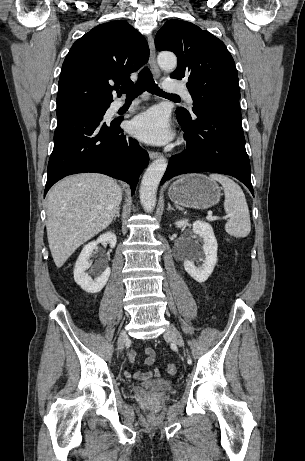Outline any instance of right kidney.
Wrapping results in <instances>:
<instances>
[{"instance_id":"obj_1","label":"right kidney","mask_w":305,"mask_h":461,"mask_svg":"<svg viewBox=\"0 0 305 461\" xmlns=\"http://www.w3.org/2000/svg\"><path fill=\"white\" fill-rule=\"evenodd\" d=\"M104 241H107L110 247L114 248L117 242L116 235L112 232H107L99 236L96 241L88 243L84 246L75 263L74 280L84 291L90 294L100 292L106 285L111 273L109 267L98 268L96 270L97 277L94 280L86 273V270L90 267L89 257L91 253L97 248L98 243Z\"/></svg>"}]
</instances>
